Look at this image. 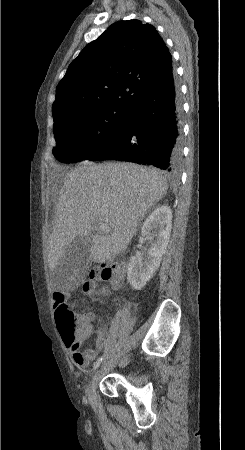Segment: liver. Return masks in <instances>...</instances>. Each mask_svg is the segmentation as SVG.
<instances>
[{"label": "liver", "mask_w": 245, "mask_h": 450, "mask_svg": "<svg viewBox=\"0 0 245 450\" xmlns=\"http://www.w3.org/2000/svg\"><path fill=\"white\" fill-rule=\"evenodd\" d=\"M167 190L159 172L134 163L84 164L66 173L48 238L50 270L76 237H91L93 261L116 258ZM98 223L109 225L110 234H92Z\"/></svg>", "instance_id": "6515ba94"}]
</instances>
